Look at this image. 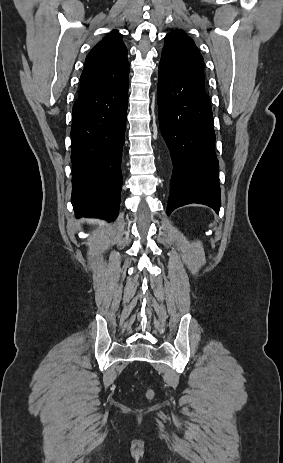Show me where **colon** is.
Segmentation results:
<instances>
[{
	"mask_svg": "<svg viewBox=\"0 0 283 463\" xmlns=\"http://www.w3.org/2000/svg\"><path fill=\"white\" fill-rule=\"evenodd\" d=\"M147 396H148L149 398H151V397L153 396V392H152L151 390H149V391L147 392Z\"/></svg>",
	"mask_w": 283,
	"mask_h": 463,
	"instance_id": "obj_1",
	"label": "colon"
}]
</instances>
